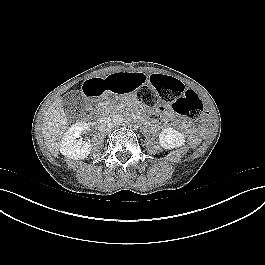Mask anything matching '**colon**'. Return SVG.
I'll list each match as a JSON object with an SVG mask.
<instances>
[{"label": "colon", "mask_w": 265, "mask_h": 265, "mask_svg": "<svg viewBox=\"0 0 265 265\" xmlns=\"http://www.w3.org/2000/svg\"><path fill=\"white\" fill-rule=\"evenodd\" d=\"M148 82L150 86H141L136 94L138 101L146 108L147 119L157 120L155 111L170 105L180 115L206 121L202 100L194 90L186 88L179 80L165 77L159 72L152 73Z\"/></svg>", "instance_id": "colon-1"}]
</instances>
